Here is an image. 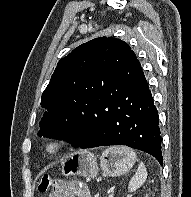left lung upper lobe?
<instances>
[{"instance_id": "1", "label": "left lung upper lobe", "mask_w": 191, "mask_h": 197, "mask_svg": "<svg viewBox=\"0 0 191 197\" xmlns=\"http://www.w3.org/2000/svg\"><path fill=\"white\" fill-rule=\"evenodd\" d=\"M141 70L135 53L120 39L100 37L80 45L58 62L42 94L46 111L39 136L67 139L104 95Z\"/></svg>"}]
</instances>
